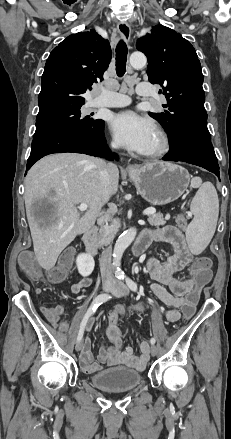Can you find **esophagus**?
<instances>
[{"label":"esophagus","instance_id":"1","mask_svg":"<svg viewBox=\"0 0 231 439\" xmlns=\"http://www.w3.org/2000/svg\"><path fill=\"white\" fill-rule=\"evenodd\" d=\"M117 30H118V33L122 36V38L125 40V42L129 43L130 37H131L130 25L125 21H120L117 24ZM126 169L129 172L135 171V167L133 165H127Z\"/></svg>","mask_w":231,"mask_h":439}]
</instances>
